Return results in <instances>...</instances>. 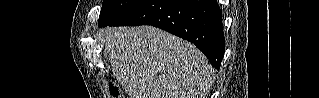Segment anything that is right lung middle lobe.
Returning <instances> with one entry per match:
<instances>
[{"mask_svg": "<svg viewBox=\"0 0 319 98\" xmlns=\"http://www.w3.org/2000/svg\"><path fill=\"white\" fill-rule=\"evenodd\" d=\"M147 0H103L98 26L105 27L132 12Z\"/></svg>", "mask_w": 319, "mask_h": 98, "instance_id": "right-lung-middle-lobe-1", "label": "right lung middle lobe"}]
</instances>
